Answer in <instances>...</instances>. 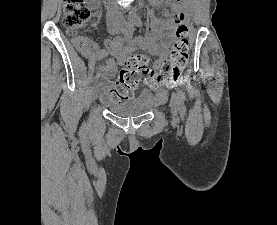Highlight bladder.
I'll list each match as a JSON object with an SVG mask.
<instances>
[{"label": "bladder", "mask_w": 277, "mask_h": 225, "mask_svg": "<svg viewBox=\"0 0 277 225\" xmlns=\"http://www.w3.org/2000/svg\"><path fill=\"white\" fill-rule=\"evenodd\" d=\"M157 105L158 102L148 91H143L132 100L105 104L110 112L121 117L141 116L153 110Z\"/></svg>", "instance_id": "bladder-1"}]
</instances>
